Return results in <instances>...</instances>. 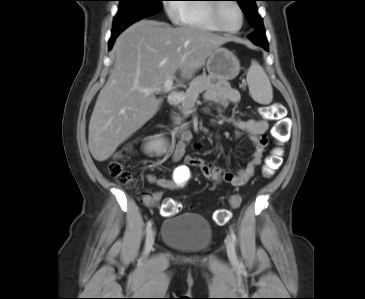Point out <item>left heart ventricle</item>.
Segmentation results:
<instances>
[{"label": "left heart ventricle", "instance_id": "left-heart-ventricle-1", "mask_svg": "<svg viewBox=\"0 0 365 299\" xmlns=\"http://www.w3.org/2000/svg\"><path fill=\"white\" fill-rule=\"evenodd\" d=\"M220 23L229 29H236L241 23V16L238 8L233 3H226L220 12Z\"/></svg>", "mask_w": 365, "mask_h": 299}]
</instances>
